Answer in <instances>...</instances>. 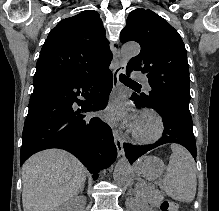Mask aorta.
I'll use <instances>...</instances> for the list:
<instances>
[{
  "label": "aorta",
  "instance_id": "aorta-1",
  "mask_svg": "<svg viewBox=\"0 0 219 211\" xmlns=\"http://www.w3.org/2000/svg\"><path fill=\"white\" fill-rule=\"evenodd\" d=\"M140 52V46L137 43L130 42L122 46L121 56L125 60L135 57ZM114 180L119 186L128 185L131 180V166L126 157H122L116 164L113 173Z\"/></svg>",
  "mask_w": 219,
  "mask_h": 211
}]
</instances>
